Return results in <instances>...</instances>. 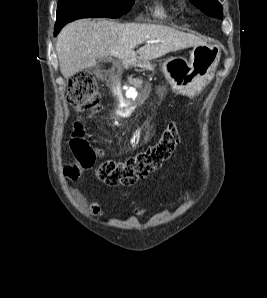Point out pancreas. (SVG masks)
Listing matches in <instances>:
<instances>
[{"label":"pancreas","mask_w":267,"mask_h":298,"mask_svg":"<svg viewBox=\"0 0 267 298\" xmlns=\"http://www.w3.org/2000/svg\"><path fill=\"white\" fill-rule=\"evenodd\" d=\"M148 68H149L150 70H152L154 67H153L152 65H149Z\"/></svg>","instance_id":"cf45deb5"}]
</instances>
